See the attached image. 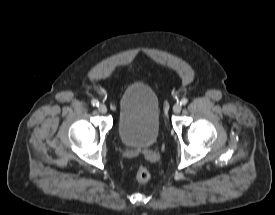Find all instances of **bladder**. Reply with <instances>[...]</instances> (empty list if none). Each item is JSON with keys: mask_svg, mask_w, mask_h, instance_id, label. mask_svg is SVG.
Here are the masks:
<instances>
[{"mask_svg": "<svg viewBox=\"0 0 275 215\" xmlns=\"http://www.w3.org/2000/svg\"><path fill=\"white\" fill-rule=\"evenodd\" d=\"M159 102L155 92L144 83L125 88L118 103V135L123 144L147 148L158 139Z\"/></svg>", "mask_w": 275, "mask_h": 215, "instance_id": "31cf9c89", "label": "bladder"}]
</instances>
